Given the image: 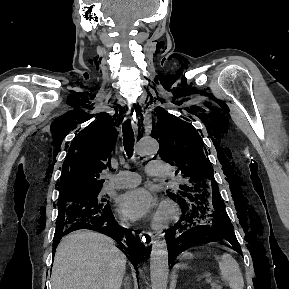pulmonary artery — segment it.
I'll return each instance as SVG.
<instances>
[{"instance_id":"pulmonary-artery-1","label":"pulmonary artery","mask_w":289,"mask_h":289,"mask_svg":"<svg viewBox=\"0 0 289 289\" xmlns=\"http://www.w3.org/2000/svg\"><path fill=\"white\" fill-rule=\"evenodd\" d=\"M146 172L151 177H165L168 173V165L163 161L152 160L146 167ZM140 175L133 171H120L116 175L109 176V184L114 188H130L137 186Z\"/></svg>"}]
</instances>
